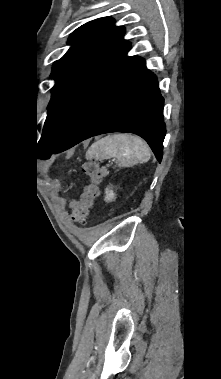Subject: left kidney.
I'll return each mask as SVG.
<instances>
[{"label": "left kidney", "instance_id": "obj_1", "mask_svg": "<svg viewBox=\"0 0 221 379\" xmlns=\"http://www.w3.org/2000/svg\"><path fill=\"white\" fill-rule=\"evenodd\" d=\"M105 201L106 202H109V201H112L113 199H115V193L113 192V190L111 188H106L105 190Z\"/></svg>", "mask_w": 221, "mask_h": 379}]
</instances>
